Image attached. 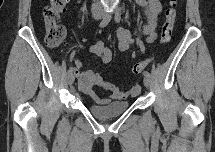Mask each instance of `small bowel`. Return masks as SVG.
Segmentation results:
<instances>
[{
	"label": "small bowel",
	"mask_w": 215,
	"mask_h": 152,
	"mask_svg": "<svg viewBox=\"0 0 215 152\" xmlns=\"http://www.w3.org/2000/svg\"><path fill=\"white\" fill-rule=\"evenodd\" d=\"M137 4L144 8L147 19L146 24L141 27L140 32L146 36L147 42L151 43L156 39V28L162 9L161 3L159 0H137ZM115 34L118 40V48L121 51L128 50L134 42L131 32L127 29L119 28L115 31ZM89 51L98 56L105 64H109L113 60L112 51L101 40L90 44ZM133 58H136L135 54H133ZM75 65L80 89L97 103L105 104L112 100L134 96L139 94L141 90L139 83H135L129 89L117 88L111 82L104 79L98 72L92 69H82L81 62L76 61ZM98 87L104 89L108 93V96H99L95 92V88Z\"/></svg>",
	"instance_id": "c3829d8e"
}]
</instances>
